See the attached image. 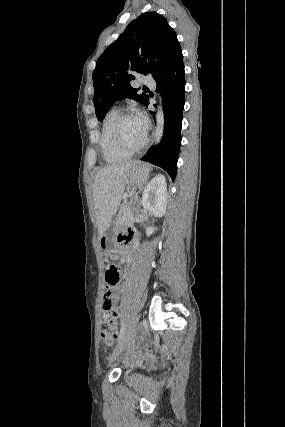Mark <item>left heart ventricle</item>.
Masks as SVG:
<instances>
[{"mask_svg": "<svg viewBox=\"0 0 285 427\" xmlns=\"http://www.w3.org/2000/svg\"><path fill=\"white\" fill-rule=\"evenodd\" d=\"M121 131L125 142L130 146L139 145L146 136L137 117L127 118L122 124Z\"/></svg>", "mask_w": 285, "mask_h": 427, "instance_id": "1", "label": "left heart ventricle"}]
</instances>
